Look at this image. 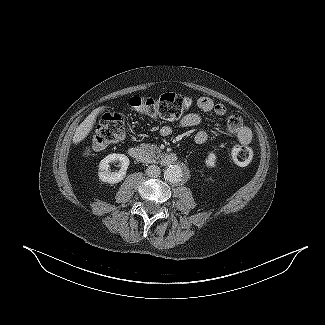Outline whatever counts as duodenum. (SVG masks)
Masks as SVG:
<instances>
[{
	"mask_svg": "<svg viewBox=\"0 0 325 325\" xmlns=\"http://www.w3.org/2000/svg\"><path fill=\"white\" fill-rule=\"evenodd\" d=\"M128 151L132 158L145 164H153L158 162L161 165L168 166L177 161V156L172 153H166L162 155L161 158L155 159L148 151L137 145L131 146Z\"/></svg>",
	"mask_w": 325,
	"mask_h": 325,
	"instance_id": "obj_1",
	"label": "duodenum"
}]
</instances>
